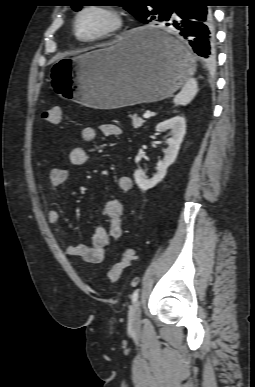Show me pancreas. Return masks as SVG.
<instances>
[{"instance_id": "1", "label": "pancreas", "mask_w": 255, "mask_h": 387, "mask_svg": "<svg viewBox=\"0 0 255 387\" xmlns=\"http://www.w3.org/2000/svg\"><path fill=\"white\" fill-rule=\"evenodd\" d=\"M132 126L135 128V129H138L140 128L145 120H143L142 118L138 117V116H132Z\"/></svg>"}]
</instances>
